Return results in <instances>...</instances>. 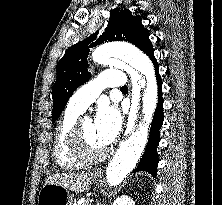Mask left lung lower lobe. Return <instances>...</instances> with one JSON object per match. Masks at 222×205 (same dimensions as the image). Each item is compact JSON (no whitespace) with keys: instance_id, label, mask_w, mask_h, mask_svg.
Returning a JSON list of instances; mask_svg holds the SVG:
<instances>
[{"instance_id":"obj_1","label":"left lung lower lobe","mask_w":222,"mask_h":205,"mask_svg":"<svg viewBox=\"0 0 222 205\" xmlns=\"http://www.w3.org/2000/svg\"><path fill=\"white\" fill-rule=\"evenodd\" d=\"M140 50H142L146 55L151 59L152 63L154 64L155 67V73H156V78H157V83H158V89H159V94H158V104L154 113L151 129H150V136L148 139L147 147L145 149V152L137 165L136 169L134 172L138 171H146L150 173L153 176H156V169L157 165L159 162L158 154H157V146L160 141V128L163 124L164 116H163V97H162V81L161 77L159 75V65L157 63V60L154 56V49L152 47V43L147 37Z\"/></svg>"}]
</instances>
